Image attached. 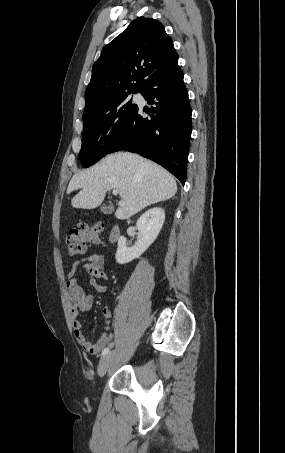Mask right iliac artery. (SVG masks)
Instances as JSON below:
<instances>
[{
	"label": "right iliac artery",
	"instance_id": "obj_1",
	"mask_svg": "<svg viewBox=\"0 0 285 453\" xmlns=\"http://www.w3.org/2000/svg\"><path fill=\"white\" fill-rule=\"evenodd\" d=\"M113 346V343H110V346L109 347H112ZM109 347L105 348L103 351H102V356L108 354L109 352Z\"/></svg>",
	"mask_w": 285,
	"mask_h": 453
}]
</instances>
